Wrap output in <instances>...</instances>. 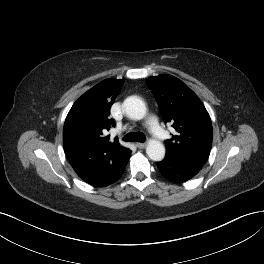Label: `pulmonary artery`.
<instances>
[{"label": "pulmonary artery", "mask_w": 264, "mask_h": 264, "mask_svg": "<svg viewBox=\"0 0 264 264\" xmlns=\"http://www.w3.org/2000/svg\"><path fill=\"white\" fill-rule=\"evenodd\" d=\"M148 127L152 135L156 138H160L164 135L163 130L159 126L158 120L154 116H150L148 119Z\"/></svg>", "instance_id": "pulmonary-artery-1"}]
</instances>
